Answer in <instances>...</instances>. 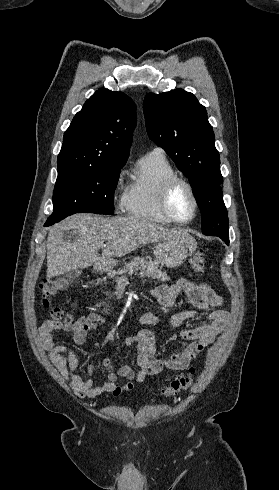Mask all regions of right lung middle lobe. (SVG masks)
<instances>
[{"instance_id":"1","label":"right lung middle lobe","mask_w":279,"mask_h":490,"mask_svg":"<svg viewBox=\"0 0 279 490\" xmlns=\"http://www.w3.org/2000/svg\"><path fill=\"white\" fill-rule=\"evenodd\" d=\"M123 164L58 167L53 193V213L45 224L53 225L75 213H114V191Z\"/></svg>"}]
</instances>
